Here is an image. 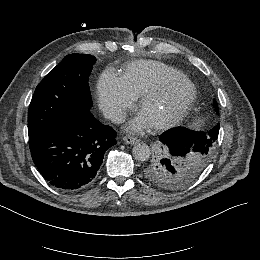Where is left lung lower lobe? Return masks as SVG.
Segmentation results:
<instances>
[{"label": "left lung lower lobe", "instance_id": "0a47b994", "mask_svg": "<svg viewBox=\"0 0 260 260\" xmlns=\"http://www.w3.org/2000/svg\"><path fill=\"white\" fill-rule=\"evenodd\" d=\"M220 124L209 132H197L186 128H171L165 131L160 140L173 156H185L209 151L218 138Z\"/></svg>", "mask_w": 260, "mask_h": 260}]
</instances>
